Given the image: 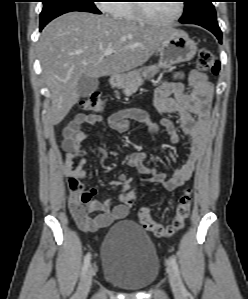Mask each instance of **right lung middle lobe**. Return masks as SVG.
I'll return each mask as SVG.
<instances>
[{"instance_id": "dd1d6c3e", "label": "right lung middle lobe", "mask_w": 248, "mask_h": 299, "mask_svg": "<svg viewBox=\"0 0 248 299\" xmlns=\"http://www.w3.org/2000/svg\"><path fill=\"white\" fill-rule=\"evenodd\" d=\"M93 1L94 0H43L40 24H47L57 16L71 11L101 14Z\"/></svg>"}]
</instances>
